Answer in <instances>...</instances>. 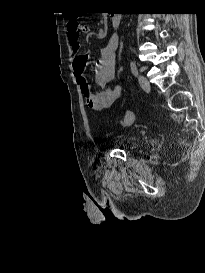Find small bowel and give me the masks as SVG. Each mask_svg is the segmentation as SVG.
Returning <instances> with one entry per match:
<instances>
[{
    "label": "small bowel",
    "instance_id": "c3829d8e",
    "mask_svg": "<svg viewBox=\"0 0 205 273\" xmlns=\"http://www.w3.org/2000/svg\"><path fill=\"white\" fill-rule=\"evenodd\" d=\"M76 24L80 23L78 21H70L67 26L69 44L75 54L73 72L87 106L93 110H104L108 108L121 93L120 86L111 84L116 77V49L118 47V38L113 36L108 43L100 49L99 59L94 64L95 82L100 90L93 92L84 74L88 55L81 52V44L79 41L81 32L86 31L87 26L81 25L76 31Z\"/></svg>",
    "mask_w": 205,
    "mask_h": 273
}]
</instances>
